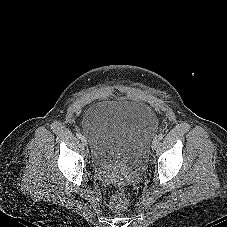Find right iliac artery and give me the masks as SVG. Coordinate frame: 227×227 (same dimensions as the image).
<instances>
[{
  "instance_id": "right-iliac-artery-1",
  "label": "right iliac artery",
  "mask_w": 227,
  "mask_h": 227,
  "mask_svg": "<svg viewBox=\"0 0 227 227\" xmlns=\"http://www.w3.org/2000/svg\"><path fill=\"white\" fill-rule=\"evenodd\" d=\"M77 137L80 139L82 138V134L81 133H77Z\"/></svg>"
}]
</instances>
